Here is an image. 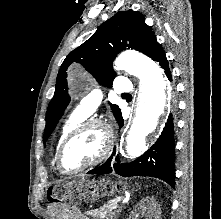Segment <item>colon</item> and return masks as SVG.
<instances>
[{
  "label": "colon",
  "mask_w": 221,
  "mask_h": 219,
  "mask_svg": "<svg viewBox=\"0 0 221 219\" xmlns=\"http://www.w3.org/2000/svg\"><path fill=\"white\" fill-rule=\"evenodd\" d=\"M62 190H64L63 188L61 187H56L54 189V193H55V196H53L52 193H50L48 195V199L52 202H56V203H59V204H65L66 202H68L70 199H63V195H62Z\"/></svg>",
  "instance_id": "colon-1"
}]
</instances>
